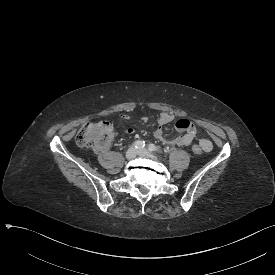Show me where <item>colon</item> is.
Returning <instances> with one entry per match:
<instances>
[{
	"mask_svg": "<svg viewBox=\"0 0 275 275\" xmlns=\"http://www.w3.org/2000/svg\"><path fill=\"white\" fill-rule=\"evenodd\" d=\"M115 136L113 125L107 121L86 122L76 135V142L81 148H90L104 153ZM195 153L204 152L205 147L197 144L193 147Z\"/></svg>",
	"mask_w": 275,
	"mask_h": 275,
	"instance_id": "1",
	"label": "colon"
}]
</instances>
